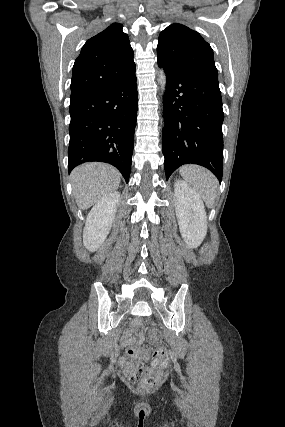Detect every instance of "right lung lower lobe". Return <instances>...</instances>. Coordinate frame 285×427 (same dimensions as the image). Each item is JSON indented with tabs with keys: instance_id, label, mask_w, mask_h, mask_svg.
<instances>
[{
	"instance_id": "obj_1",
	"label": "right lung lower lobe",
	"mask_w": 285,
	"mask_h": 427,
	"mask_svg": "<svg viewBox=\"0 0 285 427\" xmlns=\"http://www.w3.org/2000/svg\"><path fill=\"white\" fill-rule=\"evenodd\" d=\"M137 109L135 74L120 84L71 98L69 172L85 162H105L128 182Z\"/></svg>"
}]
</instances>
